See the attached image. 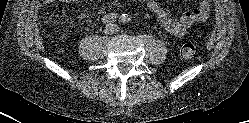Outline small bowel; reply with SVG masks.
I'll return each instance as SVG.
<instances>
[{"label": "small bowel", "mask_w": 249, "mask_h": 123, "mask_svg": "<svg viewBox=\"0 0 249 123\" xmlns=\"http://www.w3.org/2000/svg\"><path fill=\"white\" fill-rule=\"evenodd\" d=\"M63 3L76 2L78 0H50ZM146 2L149 10L156 14L161 26L170 34L181 37L195 23L203 22L207 19L210 11L209 0H197V4L188 9L180 16L175 17L169 9L163 7L156 0H143Z\"/></svg>", "instance_id": "c3829d8e"}]
</instances>
